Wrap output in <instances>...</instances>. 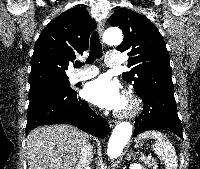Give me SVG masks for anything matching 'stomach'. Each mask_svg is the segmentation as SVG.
Returning <instances> with one entry per match:
<instances>
[{
  "label": "stomach",
  "instance_id": "0dacf381",
  "mask_svg": "<svg viewBox=\"0 0 200 169\" xmlns=\"http://www.w3.org/2000/svg\"><path fill=\"white\" fill-rule=\"evenodd\" d=\"M142 145V143L140 142V140H136V145H135V147H139V146H141Z\"/></svg>",
  "mask_w": 200,
  "mask_h": 169
}]
</instances>
